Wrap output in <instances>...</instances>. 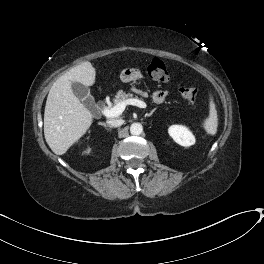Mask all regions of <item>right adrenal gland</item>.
<instances>
[{"mask_svg": "<svg viewBox=\"0 0 264 264\" xmlns=\"http://www.w3.org/2000/svg\"><path fill=\"white\" fill-rule=\"evenodd\" d=\"M100 125L104 126L106 129H110L106 123H99Z\"/></svg>", "mask_w": 264, "mask_h": 264, "instance_id": "1", "label": "right adrenal gland"}]
</instances>
